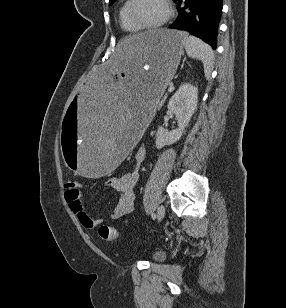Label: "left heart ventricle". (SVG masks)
Instances as JSON below:
<instances>
[{"instance_id": "1", "label": "left heart ventricle", "mask_w": 286, "mask_h": 308, "mask_svg": "<svg viewBox=\"0 0 286 308\" xmlns=\"http://www.w3.org/2000/svg\"><path fill=\"white\" fill-rule=\"evenodd\" d=\"M166 14L163 0H138L136 17L142 23L153 24L160 21Z\"/></svg>"}]
</instances>
